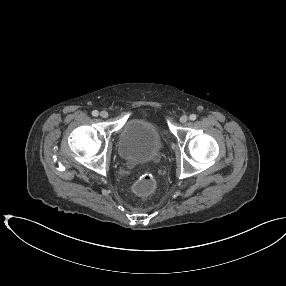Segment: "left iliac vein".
Returning a JSON list of instances; mask_svg holds the SVG:
<instances>
[{
    "instance_id": "obj_1",
    "label": "left iliac vein",
    "mask_w": 286,
    "mask_h": 286,
    "mask_svg": "<svg viewBox=\"0 0 286 286\" xmlns=\"http://www.w3.org/2000/svg\"><path fill=\"white\" fill-rule=\"evenodd\" d=\"M187 121H188V117L186 115H183V116L180 117V122L182 124H185Z\"/></svg>"
}]
</instances>
